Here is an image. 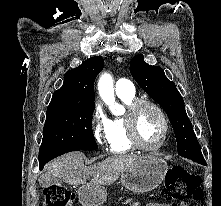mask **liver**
<instances>
[{"instance_id": "6515ba94", "label": "liver", "mask_w": 221, "mask_h": 206, "mask_svg": "<svg viewBox=\"0 0 221 206\" xmlns=\"http://www.w3.org/2000/svg\"><path fill=\"white\" fill-rule=\"evenodd\" d=\"M138 157L134 155H114L102 162L90 166L84 164V154L71 152L52 161L47 166V172L38 181L42 187L50 185V180L63 179L71 185H85L92 177L94 185H109L115 182Z\"/></svg>"}]
</instances>
